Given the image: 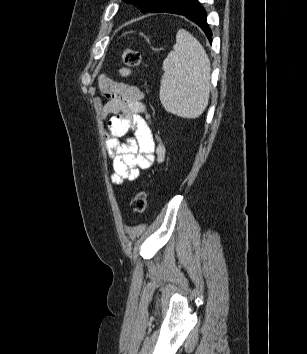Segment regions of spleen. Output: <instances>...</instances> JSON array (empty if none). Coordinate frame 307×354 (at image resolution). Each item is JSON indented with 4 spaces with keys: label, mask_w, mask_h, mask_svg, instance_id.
Here are the masks:
<instances>
[{
    "label": "spleen",
    "mask_w": 307,
    "mask_h": 354,
    "mask_svg": "<svg viewBox=\"0 0 307 354\" xmlns=\"http://www.w3.org/2000/svg\"><path fill=\"white\" fill-rule=\"evenodd\" d=\"M160 101L174 115L193 119L206 109L210 93V60L189 32L179 30L176 44L163 61Z\"/></svg>",
    "instance_id": "obj_1"
}]
</instances>
